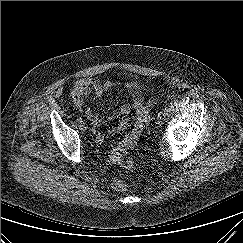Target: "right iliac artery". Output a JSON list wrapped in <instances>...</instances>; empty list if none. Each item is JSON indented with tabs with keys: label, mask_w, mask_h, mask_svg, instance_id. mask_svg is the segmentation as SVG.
I'll use <instances>...</instances> for the list:
<instances>
[{
	"label": "right iliac artery",
	"mask_w": 243,
	"mask_h": 243,
	"mask_svg": "<svg viewBox=\"0 0 243 243\" xmlns=\"http://www.w3.org/2000/svg\"><path fill=\"white\" fill-rule=\"evenodd\" d=\"M77 121L81 123L82 122V118L81 117L77 118Z\"/></svg>",
	"instance_id": "82829eb1"
}]
</instances>
